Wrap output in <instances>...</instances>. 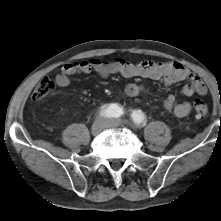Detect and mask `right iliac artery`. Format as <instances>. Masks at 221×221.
Returning a JSON list of instances; mask_svg holds the SVG:
<instances>
[{
	"instance_id": "right-iliac-artery-1",
	"label": "right iliac artery",
	"mask_w": 221,
	"mask_h": 221,
	"mask_svg": "<svg viewBox=\"0 0 221 221\" xmlns=\"http://www.w3.org/2000/svg\"><path fill=\"white\" fill-rule=\"evenodd\" d=\"M123 114V110L117 104L105 105L101 108L99 115L107 118L119 117Z\"/></svg>"
}]
</instances>
